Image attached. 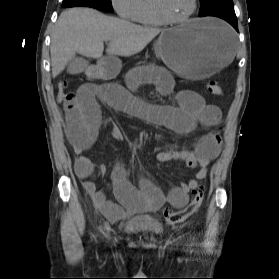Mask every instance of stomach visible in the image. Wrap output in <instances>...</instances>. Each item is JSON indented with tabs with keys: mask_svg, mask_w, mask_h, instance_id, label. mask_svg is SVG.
<instances>
[{
	"mask_svg": "<svg viewBox=\"0 0 279 279\" xmlns=\"http://www.w3.org/2000/svg\"><path fill=\"white\" fill-rule=\"evenodd\" d=\"M227 29L224 32L222 29ZM155 53L178 75L187 79H204L227 69L237 50L233 32L221 21L193 19L161 32ZM121 67L120 60L105 58L98 63L95 82H110Z\"/></svg>",
	"mask_w": 279,
	"mask_h": 279,
	"instance_id": "0dacf381",
	"label": "stomach"
}]
</instances>
